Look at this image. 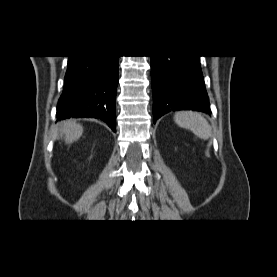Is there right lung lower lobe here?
<instances>
[{
    "instance_id": "right-lung-lower-lobe-1",
    "label": "right lung lower lobe",
    "mask_w": 277,
    "mask_h": 277,
    "mask_svg": "<svg viewBox=\"0 0 277 277\" xmlns=\"http://www.w3.org/2000/svg\"><path fill=\"white\" fill-rule=\"evenodd\" d=\"M118 66L116 55L69 56L57 120L97 118L115 131Z\"/></svg>"
}]
</instances>
